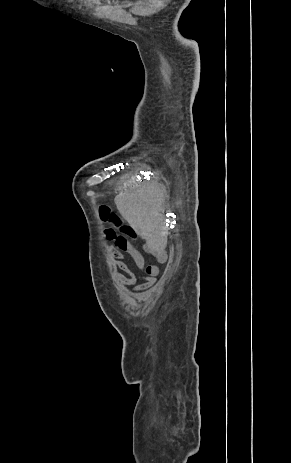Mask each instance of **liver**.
Returning a JSON list of instances; mask_svg holds the SVG:
<instances>
[{
	"instance_id": "1",
	"label": "liver",
	"mask_w": 291,
	"mask_h": 463,
	"mask_svg": "<svg viewBox=\"0 0 291 463\" xmlns=\"http://www.w3.org/2000/svg\"><path fill=\"white\" fill-rule=\"evenodd\" d=\"M122 217L146 240L145 249L153 255L162 254L167 246V229L160 213L161 191L156 185H138L115 197Z\"/></svg>"
}]
</instances>
